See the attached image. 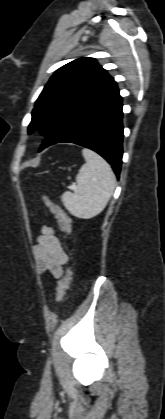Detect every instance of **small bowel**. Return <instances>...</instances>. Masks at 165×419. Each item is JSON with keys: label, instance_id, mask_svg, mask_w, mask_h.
I'll return each instance as SVG.
<instances>
[{"label": "small bowel", "instance_id": "1", "mask_svg": "<svg viewBox=\"0 0 165 419\" xmlns=\"http://www.w3.org/2000/svg\"><path fill=\"white\" fill-rule=\"evenodd\" d=\"M34 253L40 272L48 271L58 279L63 276L64 266L69 258L53 228L48 226L42 228L41 235L36 240Z\"/></svg>", "mask_w": 165, "mask_h": 419}]
</instances>
